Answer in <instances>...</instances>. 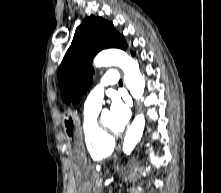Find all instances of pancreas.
<instances>
[{"label":"pancreas","mask_w":221,"mask_h":193,"mask_svg":"<svg viewBox=\"0 0 221 193\" xmlns=\"http://www.w3.org/2000/svg\"><path fill=\"white\" fill-rule=\"evenodd\" d=\"M99 179H100V178H99V175H96V188H97L98 191L101 190V186H99V184H98Z\"/></svg>","instance_id":"pancreas-1"}]
</instances>
